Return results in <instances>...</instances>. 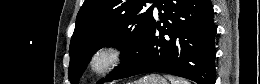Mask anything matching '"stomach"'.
<instances>
[{"label": "stomach", "instance_id": "obj_1", "mask_svg": "<svg viewBox=\"0 0 260 84\" xmlns=\"http://www.w3.org/2000/svg\"><path fill=\"white\" fill-rule=\"evenodd\" d=\"M131 84H168V82L164 77L159 74H150Z\"/></svg>", "mask_w": 260, "mask_h": 84}]
</instances>
